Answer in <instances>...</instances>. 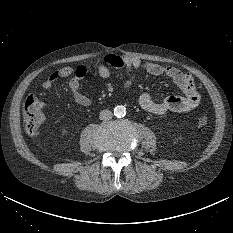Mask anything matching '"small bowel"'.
Instances as JSON below:
<instances>
[{"instance_id":"c3829d8e","label":"small bowel","mask_w":233,"mask_h":233,"mask_svg":"<svg viewBox=\"0 0 233 233\" xmlns=\"http://www.w3.org/2000/svg\"><path fill=\"white\" fill-rule=\"evenodd\" d=\"M95 68L98 75L103 79L111 77V68L123 69L127 74L133 70L143 69L153 76H166L182 91L183 95H171L161 101H155L148 93H142L138 97V103L144 110L154 114H164L167 112H189L195 109L200 102L199 84L193 77L176 67L161 65L152 62L142 61L135 56L108 54L103 59L96 61ZM88 68L79 65L75 68L64 67L51 73L43 82L42 89L48 90L52 84L62 78L71 77L69 88L74 101L81 106H89L92 99L80 91V82L87 75ZM134 82L133 77H129L123 85V90H128Z\"/></svg>"}]
</instances>
